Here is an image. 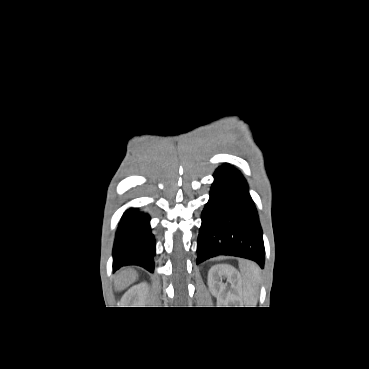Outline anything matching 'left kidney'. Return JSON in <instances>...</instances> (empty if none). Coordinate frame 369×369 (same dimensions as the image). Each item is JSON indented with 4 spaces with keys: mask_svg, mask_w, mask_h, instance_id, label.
Here are the masks:
<instances>
[{
    "mask_svg": "<svg viewBox=\"0 0 369 369\" xmlns=\"http://www.w3.org/2000/svg\"><path fill=\"white\" fill-rule=\"evenodd\" d=\"M222 277H226L227 281L231 283L234 294L229 298L238 300V285L240 283L239 273L231 266L219 265L213 266L208 273V286L211 293L217 298L221 297L225 284L221 282Z\"/></svg>",
    "mask_w": 369,
    "mask_h": 369,
    "instance_id": "5707ae66",
    "label": "left kidney"
}]
</instances>
